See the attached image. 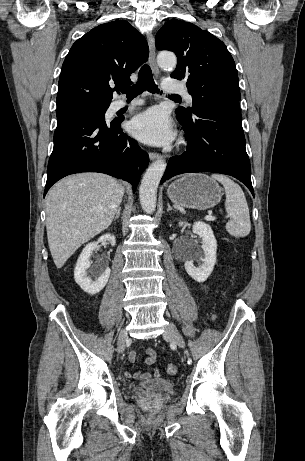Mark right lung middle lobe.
<instances>
[{"mask_svg": "<svg viewBox=\"0 0 305 461\" xmlns=\"http://www.w3.org/2000/svg\"><path fill=\"white\" fill-rule=\"evenodd\" d=\"M108 107H109L108 103L82 104V105H75V106L59 108L57 109V113L63 112V111H75V112L87 113L89 115L104 116Z\"/></svg>", "mask_w": 305, "mask_h": 461, "instance_id": "obj_1", "label": "right lung middle lobe"}]
</instances>
